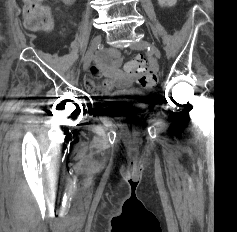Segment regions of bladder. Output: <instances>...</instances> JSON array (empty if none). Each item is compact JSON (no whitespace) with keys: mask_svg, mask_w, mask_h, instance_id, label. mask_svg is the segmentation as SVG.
<instances>
[{"mask_svg":"<svg viewBox=\"0 0 237 232\" xmlns=\"http://www.w3.org/2000/svg\"><path fill=\"white\" fill-rule=\"evenodd\" d=\"M130 96H133V93L128 89L117 91L114 98L101 100L98 104L110 116L130 118L137 115L140 110L139 103L129 99Z\"/></svg>","mask_w":237,"mask_h":232,"instance_id":"obj_1","label":"bladder"}]
</instances>
